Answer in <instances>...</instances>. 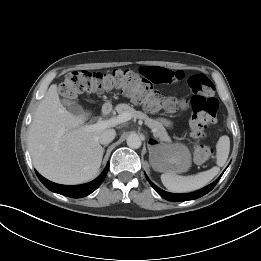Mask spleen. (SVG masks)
<instances>
[{"label":"spleen","instance_id":"3e777b00","mask_svg":"<svg viewBox=\"0 0 261 261\" xmlns=\"http://www.w3.org/2000/svg\"><path fill=\"white\" fill-rule=\"evenodd\" d=\"M229 150V137L226 135L221 136L216 145V162L218 166L191 176L164 173L161 175V181L169 191L174 193H186L198 190L207 185L219 173L220 167L224 166L228 159Z\"/></svg>","mask_w":261,"mask_h":261}]
</instances>
